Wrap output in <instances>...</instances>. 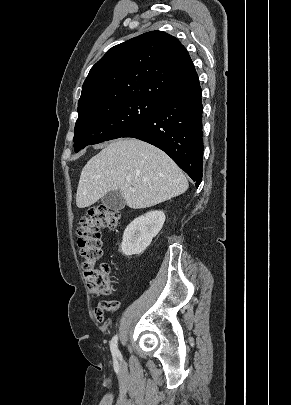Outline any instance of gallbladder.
Wrapping results in <instances>:
<instances>
[{
    "label": "gallbladder",
    "instance_id": "bac80fb5",
    "mask_svg": "<svg viewBox=\"0 0 291 405\" xmlns=\"http://www.w3.org/2000/svg\"><path fill=\"white\" fill-rule=\"evenodd\" d=\"M101 201L107 209L112 211H119L125 207V201L118 190L108 192Z\"/></svg>",
    "mask_w": 291,
    "mask_h": 405
}]
</instances>
